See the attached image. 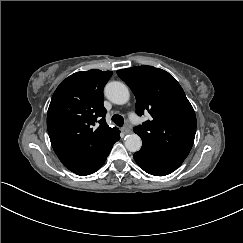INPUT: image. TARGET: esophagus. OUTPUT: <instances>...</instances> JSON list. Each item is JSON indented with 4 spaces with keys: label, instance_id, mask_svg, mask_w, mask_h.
Wrapping results in <instances>:
<instances>
[{
    "label": "esophagus",
    "instance_id": "34e87169",
    "mask_svg": "<svg viewBox=\"0 0 243 243\" xmlns=\"http://www.w3.org/2000/svg\"><path fill=\"white\" fill-rule=\"evenodd\" d=\"M121 133H122V135H126V134L131 133V130L129 128L124 127L121 129Z\"/></svg>",
    "mask_w": 243,
    "mask_h": 243
}]
</instances>
